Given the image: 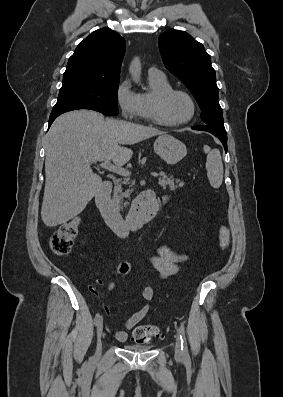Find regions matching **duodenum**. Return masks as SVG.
<instances>
[{
    "mask_svg": "<svg viewBox=\"0 0 283 397\" xmlns=\"http://www.w3.org/2000/svg\"><path fill=\"white\" fill-rule=\"evenodd\" d=\"M112 185L103 182L96 194L95 202L105 222L118 235L127 236L130 232L146 226L159 210L154 193L143 191L133 200L127 216L121 215L110 199Z\"/></svg>",
    "mask_w": 283,
    "mask_h": 397,
    "instance_id": "obj_1",
    "label": "duodenum"
}]
</instances>
